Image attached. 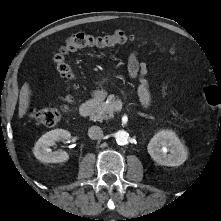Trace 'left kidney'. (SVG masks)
Returning <instances> with one entry per match:
<instances>
[{
    "label": "left kidney",
    "instance_id": "left-kidney-1",
    "mask_svg": "<svg viewBox=\"0 0 221 221\" xmlns=\"http://www.w3.org/2000/svg\"><path fill=\"white\" fill-rule=\"evenodd\" d=\"M151 158L160 165L180 166L187 159V148L172 130L156 133L147 146Z\"/></svg>",
    "mask_w": 221,
    "mask_h": 221
}]
</instances>
